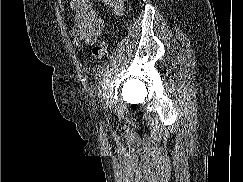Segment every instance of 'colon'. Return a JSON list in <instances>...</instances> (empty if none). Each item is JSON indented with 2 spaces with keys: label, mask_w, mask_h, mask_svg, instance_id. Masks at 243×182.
Masks as SVG:
<instances>
[{
  "label": "colon",
  "mask_w": 243,
  "mask_h": 182,
  "mask_svg": "<svg viewBox=\"0 0 243 182\" xmlns=\"http://www.w3.org/2000/svg\"><path fill=\"white\" fill-rule=\"evenodd\" d=\"M107 53V43L105 40H100L97 42L93 49H92V55L95 60H101Z\"/></svg>",
  "instance_id": "obj_1"
}]
</instances>
